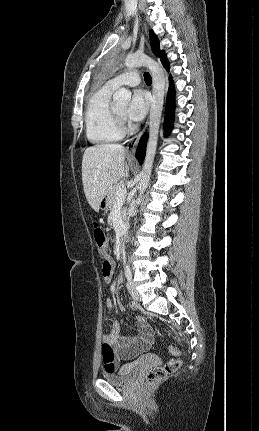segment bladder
<instances>
[{
    "instance_id": "obj_1",
    "label": "bladder",
    "mask_w": 259,
    "mask_h": 431,
    "mask_svg": "<svg viewBox=\"0 0 259 431\" xmlns=\"http://www.w3.org/2000/svg\"><path fill=\"white\" fill-rule=\"evenodd\" d=\"M135 372L136 366L126 365L116 371L106 370L102 373V377L112 384H124L132 378Z\"/></svg>"
}]
</instances>
